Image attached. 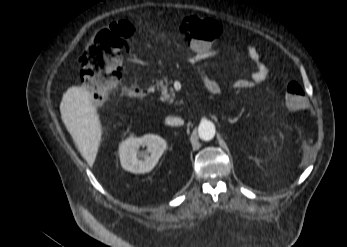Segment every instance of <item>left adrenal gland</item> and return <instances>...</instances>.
<instances>
[{
    "label": "left adrenal gland",
    "instance_id": "a2214340",
    "mask_svg": "<svg viewBox=\"0 0 347 247\" xmlns=\"http://www.w3.org/2000/svg\"><path fill=\"white\" fill-rule=\"evenodd\" d=\"M240 116L234 118V119H231V118H228V121L231 123V124H234L236 123L238 120H239Z\"/></svg>",
    "mask_w": 347,
    "mask_h": 247
}]
</instances>
